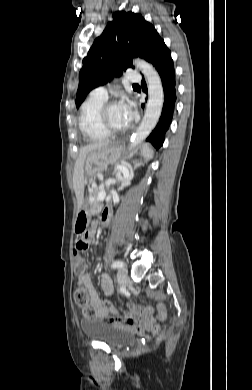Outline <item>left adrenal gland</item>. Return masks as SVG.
I'll return each mask as SVG.
<instances>
[{
    "instance_id": "left-adrenal-gland-1",
    "label": "left adrenal gland",
    "mask_w": 252,
    "mask_h": 390,
    "mask_svg": "<svg viewBox=\"0 0 252 390\" xmlns=\"http://www.w3.org/2000/svg\"><path fill=\"white\" fill-rule=\"evenodd\" d=\"M139 165H140V163H136V164L134 165V168L131 169V171H130V176H129L128 178H125V177H118V178H117V181H118V182H121V187L127 186V185L129 184L130 180L133 178V170H134L137 166H139Z\"/></svg>"
}]
</instances>
